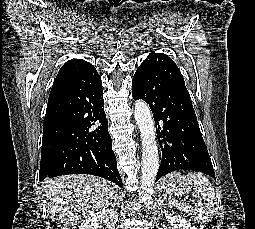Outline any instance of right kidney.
I'll return each mask as SVG.
<instances>
[{
    "mask_svg": "<svg viewBox=\"0 0 255 229\" xmlns=\"http://www.w3.org/2000/svg\"><path fill=\"white\" fill-rule=\"evenodd\" d=\"M117 221L118 214L116 211L112 209H103L84 220L79 226V229H98L101 228L100 225L102 223L106 224V227L103 229H115Z\"/></svg>",
    "mask_w": 255,
    "mask_h": 229,
    "instance_id": "ca27d5eb",
    "label": "right kidney"
}]
</instances>
